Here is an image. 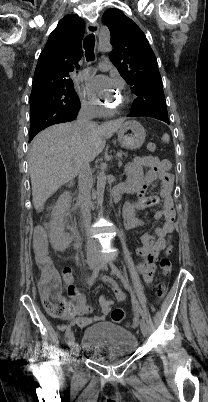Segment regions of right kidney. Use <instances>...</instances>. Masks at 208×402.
Returning a JSON list of instances; mask_svg holds the SVG:
<instances>
[{
  "label": "right kidney",
  "instance_id": "obj_1",
  "mask_svg": "<svg viewBox=\"0 0 208 402\" xmlns=\"http://www.w3.org/2000/svg\"><path fill=\"white\" fill-rule=\"evenodd\" d=\"M71 208V194L64 192L59 196L53 210L50 224L49 240L56 252H63L72 242L71 236L65 234V216Z\"/></svg>",
  "mask_w": 208,
  "mask_h": 402
}]
</instances>
